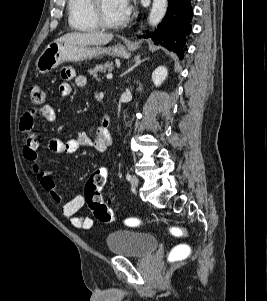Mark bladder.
Returning a JSON list of instances; mask_svg holds the SVG:
<instances>
[{
	"label": "bladder",
	"instance_id": "obj_1",
	"mask_svg": "<svg viewBox=\"0 0 267 301\" xmlns=\"http://www.w3.org/2000/svg\"><path fill=\"white\" fill-rule=\"evenodd\" d=\"M106 245L111 254L144 258L158 248L159 241L152 234L132 230H117L108 234Z\"/></svg>",
	"mask_w": 267,
	"mask_h": 301
}]
</instances>
